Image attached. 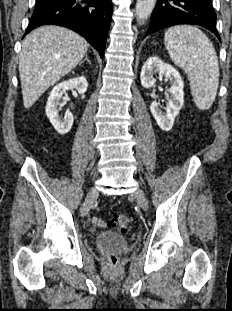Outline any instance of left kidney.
Masks as SVG:
<instances>
[{"mask_svg": "<svg viewBox=\"0 0 232 311\" xmlns=\"http://www.w3.org/2000/svg\"><path fill=\"white\" fill-rule=\"evenodd\" d=\"M157 73L169 80L171 87L168 92L171 96L169 97L168 93H165L168 100L166 113L160 110L157 101L152 102L150 110L159 127L163 131H169L184 103V83L180 73L173 66L164 63L157 56H152L147 59L142 67L140 75L142 86L147 89L153 87L156 81L154 75Z\"/></svg>", "mask_w": 232, "mask_h": 311, "instance_id": "left-kidney-1", "label": "left kidney"}]
</instances>
